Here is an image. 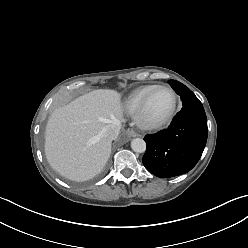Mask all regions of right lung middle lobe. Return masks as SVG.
I'll return each mask as SVG.
<instances>
[{
    "label": "right lung middle lobe",
    "mask_w": 248,
    "mask_h": 248,
    "mask_svg": "<svg viewBox=\"0 0 248 248\" xmlns=\"http://www.w3.org/2000/svg\"><path fill=\"white\" fill-rule=\"evenodd\" d=\"M106 169H104L99 175H97L95 178H93L92 180L88 181L87 183L89 182H92V181H95L97 179H99L104 173H105Z\"/></svg>",
    "instance_id": "dd1d6c3e"
}]
</instances>
